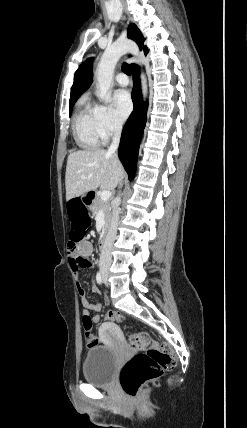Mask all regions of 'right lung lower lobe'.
<instances>
[{
    "label": "right lung lower lobe",
    "mask_w": 247,
    "mask_h": 428,
    "mask_svg": "<svg viewBox=\"0 0 247 428\" xmlns=\"http://www.w3.org/2000/svg\"><path fill=\"white\" fill-rule=\"evenodd\" d=\"M132 74L134 90L131 97L134 109L122 131L118 150L120 161L128 173L129 180H132L135 175L139 145L146 123V106L144 107L142 102L138 66L132 67Z\"/></svg>",
    "instance_id": "1"
}]
</instances>
